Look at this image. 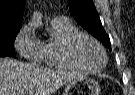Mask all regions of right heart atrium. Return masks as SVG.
Masks as SVG:
<instances>
[{"instance_id": "1", "label": "right heart atrium", "mask_w": 135, "mask_h": 95, "mask_svg": "<svg viewBox=\"0 0 135 95\" xmlns=\"http://www.w3.org/2000/svg\"><path fill=\"white\" fill-rule=\"evenodd\" d=\"M14 46L18 53L30 62L40 63L43 59L42 41L34 33L33 26L24 25L17 33Z\"/></svg>"}]
</instances>
